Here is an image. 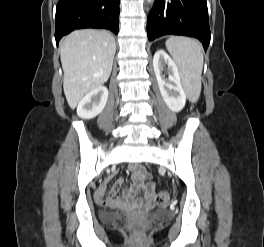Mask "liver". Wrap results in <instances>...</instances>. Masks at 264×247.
Masks as SVG:
<instances>
[{
  "instance_id": "1",
  "label": "liver",
  "mask_w": 264,
  "mask_h": 247,
  "mask_svg": "<svg viewBox=\"0 0 264 247\" xmlns=\"http://www.w3.org/2000/svg\"><path fill=\"white\" fill-rule=\"evenodd\" d=\"M115 52L114 37L107 31L76 30L61 40L63 89L72 109L86 94L108 80Z\"/></svg>"
}]
</instances>
